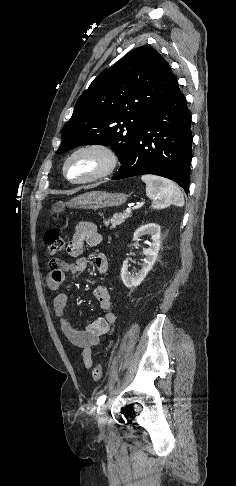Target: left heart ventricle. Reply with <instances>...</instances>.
I'll return each mask as SVG.
<instances>
[{
  "instance_id": "left-heart-ventricle-1",
  "label": "left heart ventricle",
  "mask_w": 236,
  "mask_h": 486,
  "mask_svg": "<svg viewBox=\"0 0 236 486\" xmlns=\"http://www.w3.org/2000/svg\"><path fill=\"white\" fill-rule=\"evenodd\" d=\"M103 165L102 157L95 152L76 155L68 164V175L74 180L87 178L98 172Z\"/></svg>"
}]
</instances>
